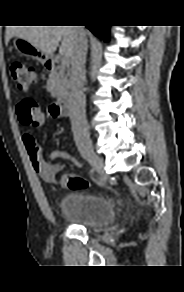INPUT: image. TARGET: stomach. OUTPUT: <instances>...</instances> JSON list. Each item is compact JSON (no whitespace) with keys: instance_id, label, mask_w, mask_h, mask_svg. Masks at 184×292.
<instances>
[{"instance_id":"stomach-1","label":"stomach","mask_w":184,"mask_h":292,"mask_svg":"<svg viewBox=\"0 0 184 292\" xmlns=\"http://www.w3.org/2000/svg\"><path fill=\"white\" fill-rule=\"evenodd\" d=\"M13 45H14L15 50L19 54L27 56V57H31L43 65L46 64L47 61L49 60V56L41 52L39 49L33 46L30 42H28L27 40L21 37H15V39L13 40Z\"/></svg>"}]
</instances>
